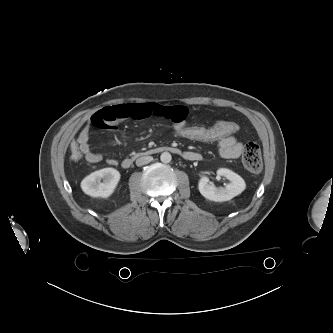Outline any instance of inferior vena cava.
Returning <instances> with one entry per match:
<instances>
[{
	"instance_id": "obj_1",
	"label": "inferior vena cava",
	"mask_w": 333,
	"mask_h": 333,
	"mask_svg": "<svg viewBox=\"0 0 333 333\" xmlns=\"http://www.w3.org/2000/svg\"><path fill=\"white\" fill-rule=\"evenodd\" d=\"M151 161H152L151 156L140 157L136 160V165L137 166H143L145 164H148Z\"/></svg>"
}]
</instances>
